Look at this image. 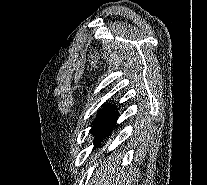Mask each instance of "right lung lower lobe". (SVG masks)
<instances>
[{
	"mask_svg": "<svg viewBox=\"0 0 207 185\" xmlns=\"http://www.w3.org/2000/svg\"><path fill=\"white\" fill-rule=\"evenodd\" d=\"M111 132V131H110ZM110 132L104 137V138H106L109 134H110Z\"/></svg>",
	"mask_w": 207,
	"mask_h": 185,
	"instance_id": "98d812e1",
	"label": "right lung lower lobe"
}]
</instances>
